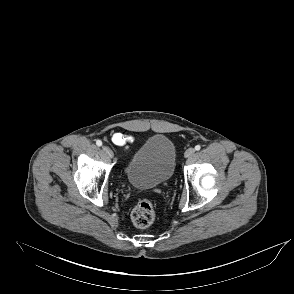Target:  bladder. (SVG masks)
<instances>
[{"label": "bladder", "mask_w": 294, "mask_h": 294, "mask_svg": "<svg viewBox=\"0 0 294 294\" xmlns=\"http://www.w3.org/2000/svg\"><path fill=\"white\" fill-rule=\"evenodd\" d=\"M176 147L165 134L146 139L126 168L128 182L135 188L148 189L168 181L176 165Z\"/></svg>", "instance_id": "obj_1"}]
</instances>
